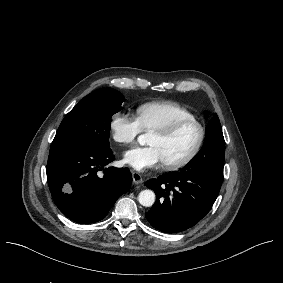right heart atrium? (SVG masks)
<instances>
[{
  "instance_id": "right-heart-atrium-1",
  "label": "right heart atrium",
  "mask_w": 283,
  "mask_h": 283,
  "mask_svg": "<svg viewBox=\"0 0 283 283\" xmlns=\"http://www.w3.org/2000/svg\"><path fill=\"white\" fill-rule=\"evenodd\" d=\"M111 140L118 145H129L141 133L142 128L137 119L124 112L116 111L111 115L108 124Z\"/></svg>"
}]
</instances>
